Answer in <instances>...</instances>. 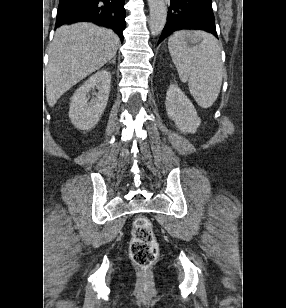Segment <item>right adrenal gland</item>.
Returning a JSON list of instances; mask_svg holds the SVG:
<instances>
[{
  "mask_svg": "<svg viewBox=\"0 0 286 308\" xmlns=\"http://www.w3.org/2000/svg\"><path fill=\"white\" fill-rule=\"evenodd\" d=\"M109 63L115 64L116 63V56H114V58L111 61H109Z\"/></svg>",
  "mask_w": 286,
  "mask_h": 308,
  "instance_id": "right-adrenal-gland-1",
  "label": "right adrenal gland"
}]
</instances>
